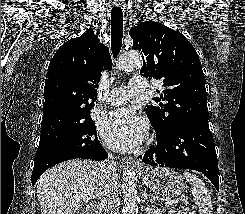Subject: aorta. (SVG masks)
<instances>
[{"mask_svg":"<svg viewBox=\"0 0 245 214\" xmlns=\"http://www.w3.org/2000/svg\"><path fill=\"white\" fill-rule=\"evenodd\" d=\"M142 63L141 55L138 52L133 51L121 55L116 65L120 70H131L140 68ZM122 191L124 195L125 214H137L139 196L137 194L134 171H128L124 177Z\"/></svg>","mask_w":245,"mask_h":214,"instance_id":"1","label":"aorta"}]
</instances>
